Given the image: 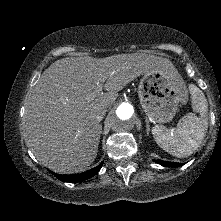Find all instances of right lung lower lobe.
Wrapping results in <instances>:
<instances>
[{"mask_svg":"<svg viewBox=\"0 0 221 221\" xmlns=\"http://www.w3.org/2000/svg\"><path fill=\"white\" fill-rule=\"evenodd\" d=\"M103 165V162H101L97 167L86 171L84 173L81 174H72V175H60V174H55L54 172L48 170L49 172H51L52 174H54V176L63 181V182H80L83 180H86L88 178H91L92 176H94L95 174L98 173V171L101 169Z\"/></svg>","mask_w":221,"mask_h":221,"instance_id":"right-lung-lower-lobe-1","label":"right lung lower lobe"}]
</instances>
